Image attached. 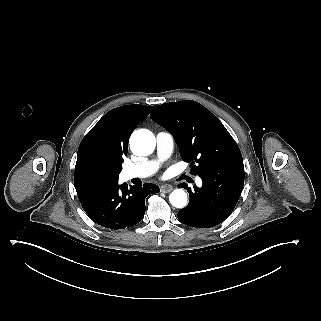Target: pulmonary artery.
<instances>
[{
	"label": "pulmonary artery",
	"instance_id": "1",
	"mask_svg": "<svg viewBox=\"0 0 321 321\" xmlns=\"http://www.w3.org/2000/svg\"><path fill=\"white\" fill-rule=\"evenodd\" d=\"M157 153L156 160H143L130 166H126L120 173V180L126 181L132 178H147L152 176L158 169L162 160L171 155L174 148L173 135L168 131H159L157 133ZM197 185H201L200 178L196 179Z\"/></svg>",
	"mask_w": 321,
	"mask_h": 321
}]
</instances>
